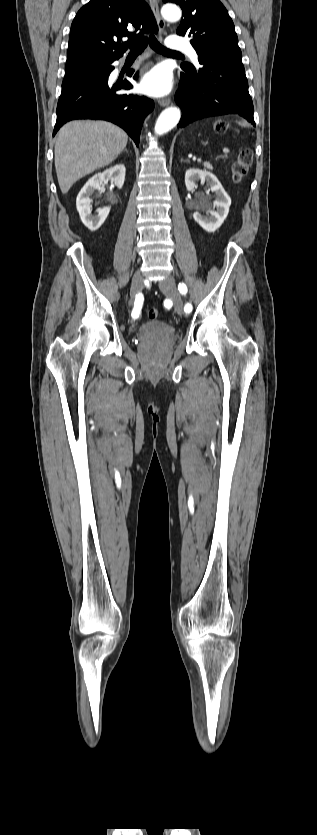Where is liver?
<instances>
[{
    "instance_id": "1",
    "label": "liver",
    "mask_w": 317,
    "mask_h": 835,
    "mask_svg": "<svg viewBox=\"0 0 317 835\" xmlns=\"http://www.w3.org/2000/svg\"><path fill=\"white\" fill-rule=\"evenodd\" d=\"M128 135L106 121H72L57 133L55 168L63 194L85 175L114 161L127 145Z\"/></svg>"
}]
</instances>
